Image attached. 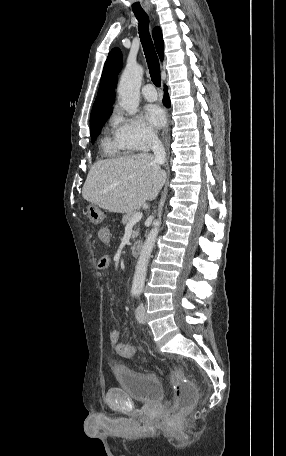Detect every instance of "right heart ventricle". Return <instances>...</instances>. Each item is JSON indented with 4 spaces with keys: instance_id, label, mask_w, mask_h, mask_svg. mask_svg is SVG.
Wrapping results in <instances>:
<instances>
[{
    "instance_id": "obj_1",
    "label": "right heart ventricle",
    "mask_w": 286,
    "mask_h": 456,
    "mask_svg": "<svg viewBox=\"0 0 286 456\" xmlns=\"http://www.w3.org/2000/svg\"><path fill=\"white\" fill-rule=\"evenodd\" d=\"M101 149L107 157H122L133 149L123 140L117 127L108 128L101 140Z\"/></svg>"
}]
</instances>
